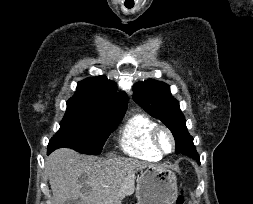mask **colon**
Instances as JSON below:
<instances>
[{
    "label": "colon",
    "instance_id": "5ec220e1",
    "mask_svg": "<svg viewBox=\"0 0 253 204\" xmlns=\"http://www.w3.org/2000/svg\"><path fill=\"white\" fill-rule=\"evenodd\" d=\"M175 204H185V197L183 192L177 197Z\"/></svg>",
    "mask_w": 253,
    "mask_h": 204
}]
</instances>
